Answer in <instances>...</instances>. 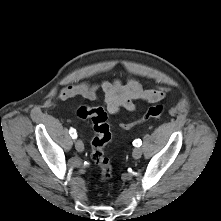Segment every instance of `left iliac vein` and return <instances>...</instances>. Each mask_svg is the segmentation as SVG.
I'll use <instances>...</instances> for the list:
<instances>
[{
	"mask_svg": "<svg viewBox=\"0 0 221 221\" xmlns=\"http://www.w3.org/2000/svg\"><path fill=\"white\" fill-rule=\"evenodd\" d=\"M133 157L135 159H139L142 155V149L140 147H137L133 150V153H132Z\"/></svg>",
	"mask_w": 221,
	"mask_h": 221,
	"instance_id": "left-iliac-vein-1",
	"label": "left iliac vein"
}]
</instances>
